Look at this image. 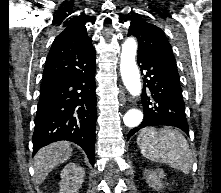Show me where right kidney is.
<instances>
[{"label": "right kidney", "instance_id": "ca27d5eb", "mask_svg": "<svg viewBox=\"0 0 221 193\" xmlns=\"http://www.w3.org/2000/svg\"><path fill=\"white\" fill-rule=\"evenodd\" d=\"M59 193H77L84 182L85 171L75 163L67 164L61 171Z\"/></svg>", "mask_w": 221, "mask_h": 193}]
</instances>
